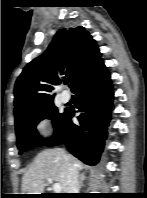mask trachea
<instances>
[{
  "instance_id": "obj_1",
  "label": "trachea",
  "mask_w": 147,
  "mask_h": 198,
  "mask_svg": "<svg viewBox=\"0 0 147 198\" xmlns=\"http://www.w3.org/2000/svg\"><path fill=\"white\" fill-rule=\"evenodd\" d=\"M69 81L67 79L64 80V84H68Z\"/></svg>"
}]
</instances>
